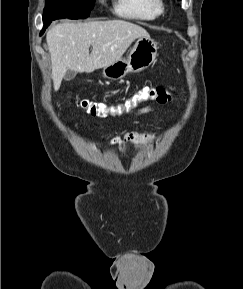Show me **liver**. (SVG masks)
Instances as JSON below:
<instances>
[{
    "label": "liver",
    "instance_id": "1",
    "mask_svg": "<svg viewBox=\"0 0 243 289\" xmlns=\"http://www.w3.org/2000/svg\"><path fill=\"white\" fill-rule=\"evenodd\" d=\"M148 32L124 20L60 23L46 35L51 55L54 90L67 70L91 73L119 60L131 43ZM92 46L91 54L89 48Z\"/></svg>",
    "mask_w": 243,
    "mask_h": 289
}]
</instances>
